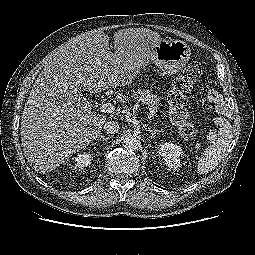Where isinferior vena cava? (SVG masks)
<instances>
[{"mask_svg":"<svg viewBox=\"0 0 255 255\" xmlns=\"http://www.w3.org/2000/svg\"><path fill=\"white\" fill-rule=\"evenodd\" d=\"M119 130V123L115 121H109L104 124V131L108 134H115Z\"/></svg>","mask_w":255,"mask_h":255,"instance_id":"inferior-vena-cava-1","label":"inferior vena cava"}]
</instances>
